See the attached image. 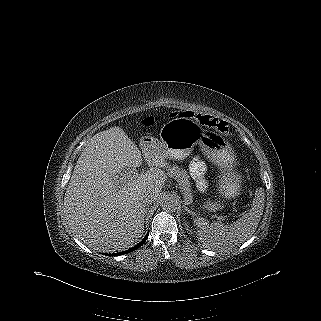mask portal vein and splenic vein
<instances>
[{"label": "portal vein and splenic vein", "mask_w": 321, "mask_h": 321, "mask_svg": "<svg viewBox=\"0 0 321 321\" xmlns=\"http://www.w3.org/2000/svg\"><path fill=\"white\" fill-rule=\"evenodd\" d=\"M131 172L133 173V175H138V171L137 170H133Z\"/></svg>", "instance_id": "1"}]
</instances>
